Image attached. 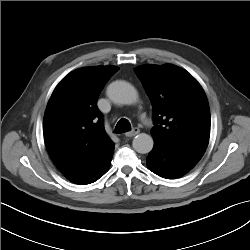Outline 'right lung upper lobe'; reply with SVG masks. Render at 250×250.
<instances>
[{"label": "right lung upper lobe", "instance_id": "right-lung-upper-lobe-1", "mask_svg": "<svg viewBox=\"0 0 250 250\" xmlns=\"http://www.w3.org/2000/svg\"><path fill=\"white\" fill-rule=\"evenodd\" d=\"M118 69L112 65L77 69L60 81L50 97L43 121L44 140L52 161L65 176L113 145L96 104Z\"/></svg>", "mask_w": 250, "mask_h": 250}]
</instances>
